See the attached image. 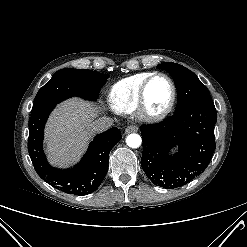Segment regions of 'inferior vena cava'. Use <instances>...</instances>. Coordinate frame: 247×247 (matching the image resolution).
Segmentation results:
<instances>
[{"mask_svg":"<svg viewBox=\"0 0 247 247\" xmlns=\"http://www.w3.org/2000/svg\"><path fill=\"white\" fill-rule=\"evenodd\" d=\"M113 124V119L110 117H100L90 124V128L94 132H104Z\"/></svg>","mask_w":247,"mask_h":247,"instance_id":"inferior-vena-cava-1","label":"inferior vena cava"}]
</instances>
